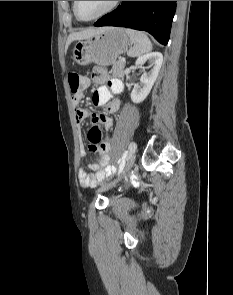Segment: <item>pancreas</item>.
Instances as JSON below:
<instances>
[{
	"label": "pancreas",
	"instance_id": "1",
	"mask_svg": "<svg viewBox=\"0 0 233 295\" xmlns=\"http://www.w3.org/2000/svg\"><path fill=\"white\" fill-rule=\"evenodd\" d=\"M124 67H125V61H121V60L116 61L112 67L113 76L119 77V78L123 77Z\"/></svg>",
	"mask_w": 233,
	"mask_h": 295
}]
</instances>
